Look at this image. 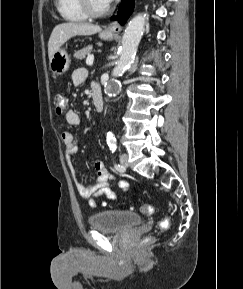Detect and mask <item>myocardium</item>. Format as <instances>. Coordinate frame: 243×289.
<instances>
[{"mask_svg": "<svg viewBox=\"0 0 243 289\" xmlns=\"http://www.w3.org/2000/svg\"><path fill=\"white\" fill-rule=\"evenodd\" d=\"M79 1L84 13L91 18L102 17L110 11V7L108 5L101 10H97L92 6L91 0H79Z\"/></svg>", "mask_w": 243, "mask_h": 289, "instance_id": "f54148a6", "label": "myocardium"}]
</instances>
